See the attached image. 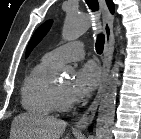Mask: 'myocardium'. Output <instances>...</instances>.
Segmentation results:
<instances>
[{
    "label": "myocardium",
    "mask_w": 141,
    "mask_h": 139,
    "mask_svg": "<svg viewBox=\"0 0 141 139\" xmlns=\"http://www.w3.org/2000/svg\"><path fill=\"white\" fill-rule=\"evenodd\" d=\"M54 96L57 110L67 111L72 108L71 100L63 94L57 85H54Z\"/></svg>",
    "instance_id": "f54148a6"
}]
</instances>
